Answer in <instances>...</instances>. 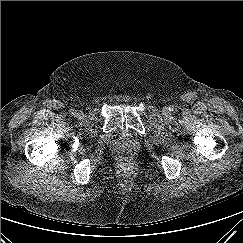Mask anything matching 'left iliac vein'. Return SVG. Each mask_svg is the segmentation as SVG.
<instances>
[{"mask_svg":"<svg viewBox=\"0 0 243 243\" xmlns=\"http://www.w3.org/2000/svg\"><path fill=\"white\" fill-rule=\"evenodd\" d=\"M162 113H163L164 115L169 114V108H168V107H164V108L162 109Z\"/></svg>","mask_w":243,"mask_h":243,"instance_id":"1","label":"left iliac vein"}]
</instances>
